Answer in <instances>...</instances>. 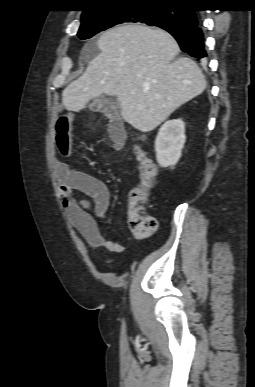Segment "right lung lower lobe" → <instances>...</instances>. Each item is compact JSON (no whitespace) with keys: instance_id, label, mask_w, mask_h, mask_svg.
Here are the masks:
<instances>
[{"instance_id":"98d812e1","label":"right lung lower lobe","mask_w":255,"mask_h":387,"mask_svg":"<svg viewBox=\"0 0 255 387\" xmlns=\"http://www.w3.org/2000/svg\"><path fill=\"white\" fill-rule=\"evenodd\" d=\"M181 13L186 19L182 25H166L160 28L168 31L180 45L183 52L196 58L198 61H205L207 53L204 45V34L201 29L199 14L196 10L182 8Z\"/></svg>"}]
</instances>
